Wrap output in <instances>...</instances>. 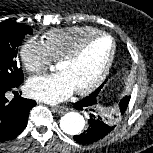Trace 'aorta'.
<instances>
[{
  "label": "aorta",
  "instance_id": "762f6f07",
  "mask_svg": "<svg viewBox=\"0 0 153 153\" xmlns=\"http://www.w3.org/2000/svg\"><path fill=\"white\" fill-rule=\"evenodd\" d=\"M85 126L84 117L78 112H69L60 119L61 130L68 135H78Z\"/></svg>",
  "mask_w": 153,
  "mask_h": 153
}]
</instances>
